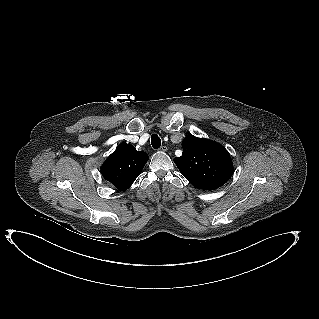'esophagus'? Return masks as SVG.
I'll return each instance as SVG.
<instances>
[{
	"label": "esophagus",
	"instance_id": "1",
	"mask_svg": "<svg viewBox=\"0 0 319 319\" xmlns=\"http://www.w3.org/2000/svg\"><path fill=\"white\" fill-rule=\"evenodd\" d=\"M159 150L162 151V152H166L167 151V147L166 146H161L159 148Z\"/></svg>",
	"mask_w": 319,
	"mask_h": 319
}]
</instances>
